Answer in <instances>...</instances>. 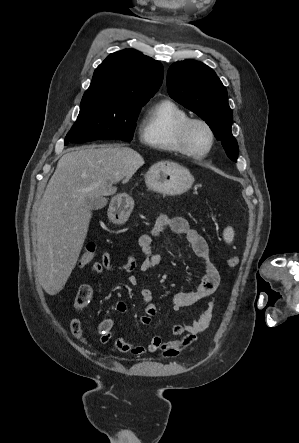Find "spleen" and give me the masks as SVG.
<instances>
[{"label":"spleen","instance_id":"spleen-1","mask_svg":"<svg viewBox=\"0 0 299 443\" xmlns=\"http://www.w3.org/2000/svg\"><path fill=\"white\" fill-rule=\"evenodd\" d=\"M223 238L227 243H231L234 238V232L231 227H227L223 232Z\"/></svg>","mask_w":299,"mask_h":443}]
</instances>
